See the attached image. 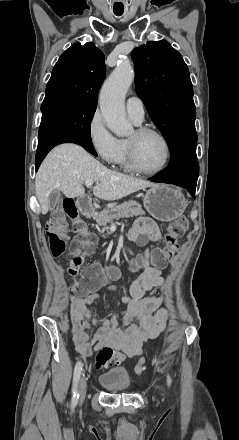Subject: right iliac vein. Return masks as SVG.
Instances as JSON below:
<instances>
[{"mask_svg": "<svg viewBox=\"0 0 239 440\" xmlns=\"http://www.w3.org/2000/svg\"><path fill=\"white\" fill-rule=\"evenodd\" d=\"M86 389H87V382H86V379L84 377H82L80 380V384H79V393H80L81 399H83L85 397Z\"/></svg>", "mask_w": 239, "mask_h": 440, "instance_id": "1", "label": "right iliac vein"}]
</instances>
